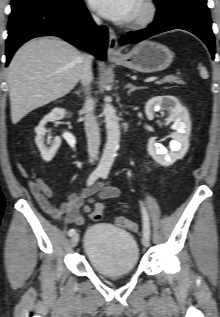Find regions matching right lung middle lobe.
I'll return each instance as SVG.
<instances>
[{"label":"right lung middle lobe","instance_id":"dd1d6c3e","mask_svg":"<svg viewBox=\"0 0 220 317\" xmlns=\"http://www.w3.org/2000/svg\"><path fill=\"white\" fill-rule=\"evenodd\" d=\"M81 0H12V11L32 5H58L71 7L79 3Z\"/></svg>","mask_w":220,"mask_h":317}]
</instances>
